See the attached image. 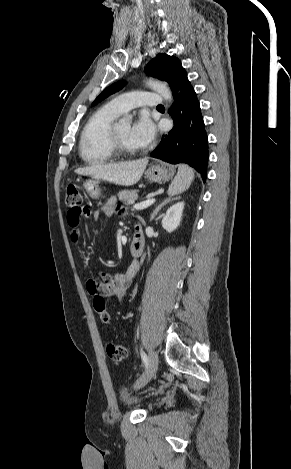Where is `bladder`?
<instances>
[{
    "mask_svg": "<svg viewBox=\"0 0 291 469\" xmlns=\"http://www.w3.org/2000/svg\"><path fill=\"white\" fill-rule=\"evenodd\" d=\"M119 396L121 401L127 406H139L142 403V398L127 387L120 389Z\"/></svg>",
    "mask_w": 291,
    "mask_h": 469,
    "instance_id": "31cf9c89",
    "label": "bladder"
}]
</instances>
